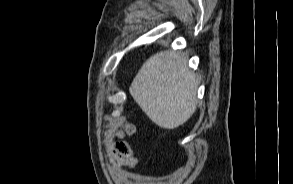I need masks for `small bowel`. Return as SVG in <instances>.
Instances as JSON below:
<instances>
[{"label": "small bowel", "mask_w": 293, "mask_h": 184, "mask_svg": "<svg viewBox=\"0 0 293 184\" xmlns=\"http://www.w3.org/2000/svg\"><path fill=\"white\" fill-rule=\"evenodd\" d=\"M124 165H128L133 168L136 165V160L133 163H127L122 160L111 157L109 159V168L113 176L119 181H125L127 179V171L123 168Z\"/></svg>", "instance_id": "1"}]
</instances>
